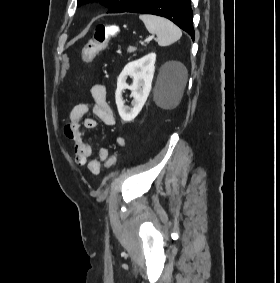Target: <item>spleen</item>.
I'll use <instances>...</instances> for the list:
<instances>
[{
    "label": "spleen",
    "mask_w": 280,
    "mask_h": 283,
    "mask_svg": "<svg viewBox=\"0 0 280 283\" xmlns=\"http://www.w3.org/2000/svg\"><path fill=\"white\" fill-rule=\"evenodd\" d=\"M146 29L156 34L157 41L160 46H168L178 41L182 36V31L174 23L163 17L154 15H140ZM183 76L181 80V90L187 81V70L183 67Z\"/></svg>",
    "instance_id": "obj_1"
}]
</instances>
